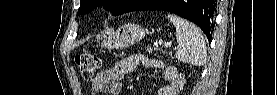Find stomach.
Instances as JSON below:
<instances>
[{
	"label": "stomach",
	"mask_w": 277,
	"mask_h": 95,
	"mask_svg": "<svg viewBox=\"0 0 277 95\" xmlns=\"http://www.w3.org/2000/svg\"><path fill=\"white\" fill-rule=\"evenodd\" d=\"M147 31L136 24H126L111 32L102 41V46L109 49H123L142 40Z\"/></svg>",
	"instance_id": "stomach-1"
}]
</instances>
